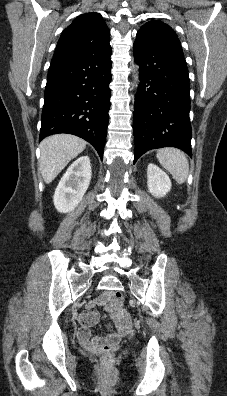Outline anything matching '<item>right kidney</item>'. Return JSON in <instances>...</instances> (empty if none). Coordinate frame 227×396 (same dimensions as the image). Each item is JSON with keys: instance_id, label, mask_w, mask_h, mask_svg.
Here are the masks:
<instances>
[{"instance_id": "right-kidney-1", "label": "right kidney", "mask_w": 227, "mask_h": 396, "mask_svg": "<svg viewBox=\"0 0 227 396\" xmlns=\"http://www.w3.org/2000/svg\"><path fill=\"white\" fill-rule=\"evenodd\" d=\"M91 174L88 156L78 158L69 166L53 198L54 206L59 212L68 213L78 205L89 187Z\"/></svg>"}]
</instances>
